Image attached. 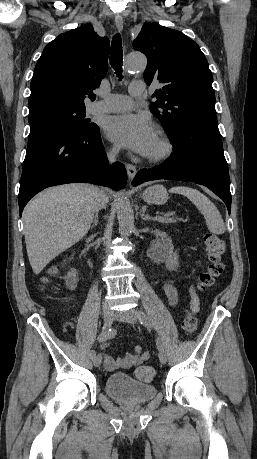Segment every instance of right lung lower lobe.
<instances>
[{
	"label": "right lung lower lobe",
	"instance_id": "obj_1",
	"mask_svg": "<svg viewBox=\"0 0 257 459\" xmlns=\"http://www.w3.org/2000/svg\"><path fill=\"white\" fill-rule=\"evenodd\" d=\"M126 181L123 164L107 165L99 127L73 132L52 124L34 123L30 125L20 180V216L27 202L50 186L87 182L118 191Z\"/></svg>",
	"mask_w": 257,
	"mask_h": 459
}]
</instances>
